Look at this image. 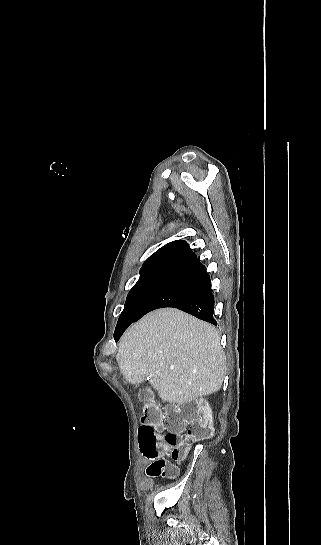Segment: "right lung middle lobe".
Segmentation results:
<instances>
[{"mask_svg":"<svg viewBox=\"0 0 321 545\" xmlns=\"http://www.w3.org/2000/svg\"><path fill=\"white\" fill-rule=\"evenodd\" d=\"M174 271L163 267L141 269L140 278L130 290L118 322L134 318Z\"/></svg>","mask_w":321,"mask_h":545,"instance_id":"1","label":"right lung middle lobe"}]
</instances>
